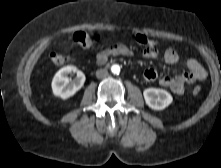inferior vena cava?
I'll list each match as a JSON object with an SVG mask.
<instances>
[{"label": "inferior vena cava", "mask_w": 221, "mask_h": 168, "mask_svg": "<svg viewBox=\"0 0 221 168\" xmlns=\"http://www.w3.org/2000/svg\"><path fill=\"white\" fill-rule=\"evenodd\" d=\"M108 76V71L106 69H99L96 71V77L99 79L105 78Z\"/></svg>", "instance_id": "inferior-vena-cava-1"}]
</instances>
